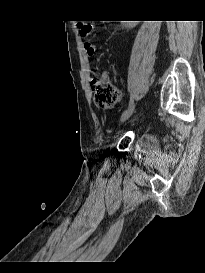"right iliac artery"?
<instances>
[{
	"label": "right iliac artery",
	"instance_id": "obj_1",
	"mask_svg": "<svg viewBox=\"0 0 205 273\" xmlns=\"http://www.w3.org/2000/svg\"><path fill=\"white\" fill-rule=\"evenodd\" d=\"M134 104V100H133V97L131 96L130 97V101H129V106L128 107H130L131 105H133Z\"/></svg>",
	"mask_w": 205,
	"mask_h": 273
}]
</instances>
